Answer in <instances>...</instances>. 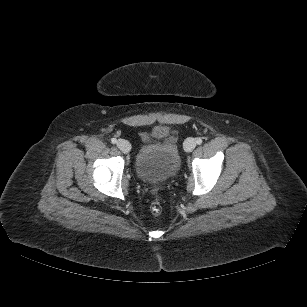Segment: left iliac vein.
Returning <instances> with one entry per match:
<instances>
[{
	"label": "left iliac vein",
	"instance_id": "4c4485c4",
	"mask_svg": "<svg viewBox=\"0 0 307 307\" xmlns=\"http://www.w3.org/2000/svg\"><path fill=\"white\" fill-rule=\"evenodd\" d=\"M196 147V140L194 138H187L184 142V149L186 152H192Z\"/></svg>",
	"mask_w": 307,
	"mask_h": 307
}]
</instances>
